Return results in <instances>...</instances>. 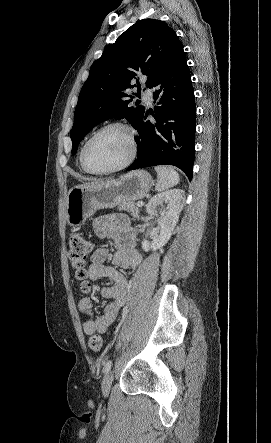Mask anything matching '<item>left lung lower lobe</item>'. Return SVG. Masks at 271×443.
<instances>
[{"label": "left lung lower lobe", "mask_w": 271, "mask_h": 443, "mask_svg": "<svg viewBox=\"0 0 271 443\" xmlns=\"http://www.w3.org/2000/svg\"><path fill=\"white\" fill-rule=\"evenodd\" d=\"M149 88L158 100L156 123L146 121L144 112L136 127L138 155L126 171L155 165H174L192 179L196 105L191 75L183 45L176 46L150 80Z\"/></svg>", "instance_id": "1"}]
</instances>
